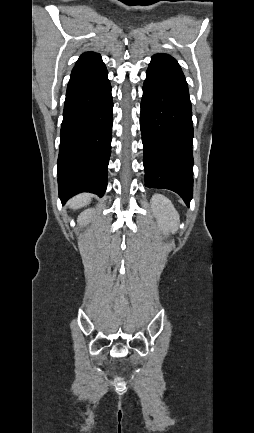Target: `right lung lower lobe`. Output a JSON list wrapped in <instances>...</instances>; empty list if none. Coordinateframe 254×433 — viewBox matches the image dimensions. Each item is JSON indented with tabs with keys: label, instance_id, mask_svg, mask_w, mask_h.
<instances>
[{
	"label": "right lung lower lobe",
	"instance_id": "1",
	"mask_svg": "<svg viewBox=\"0 0 254 433\" xmlns=\"http://www.w3.org/2000/svg\"><path fill=\"white\" fill-rule=\"evenodd\" d=\"M101 59L76 65L67 86L58 156L62 203L80 192L103 196L111 152V85Z\"/></svg>",
	"mask_w": 254,
	"mask_h": 433
}]
</instances>
